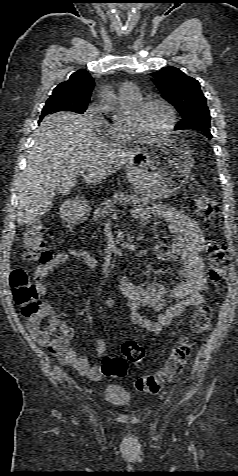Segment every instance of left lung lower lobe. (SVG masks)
Returning a JSON list of instances; mask_svg holds the SVG:
<instances>
[{"label":"left lung lower lobe","mask_w":238,"mask_h":476,"mask_svg":"<svg viewBox=\"0 0 238 476\" xmlns=\"http://www.w3.org/2000/svg\"><path fill=\"white\" fill-rule=\"evenodd\" d=\"M200 131L204 132V133L206 134V136H207L209 139H211L212 135H211V133H210V130H205V129L202 128V130H200Z\"/></svg>","instance_id":"0a47b994"}]
</instances>
